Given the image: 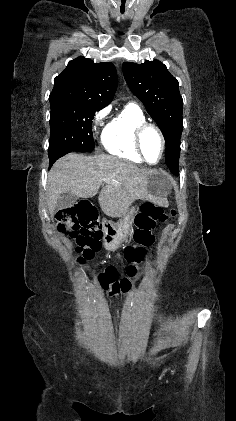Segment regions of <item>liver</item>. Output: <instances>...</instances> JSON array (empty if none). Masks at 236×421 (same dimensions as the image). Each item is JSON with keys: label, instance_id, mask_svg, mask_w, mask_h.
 I'll return each mask as SVG.
<instances>
[{"label": "liver", "instance_id": "6515ba94", "mask_svg": "<svg viewBox=\"0 0 236 421\" xmlns=\"http://www.w3.org/2000/svg\"><path fill=\"white\" fill-rule=\"evenodd\" d=\"M148 170L139 168L127 160L111 154L84 156L69 152L54 162L48 172L46 200L51 219H54L55 206L60 194L72 192L74 196L90 198L102 186L98 202L107 217H122L134 200H152L156 204L164 202L155 198L149 190Z\"/></svg>", "mask_w": 236, "mask_h": 421}]
</instances>
